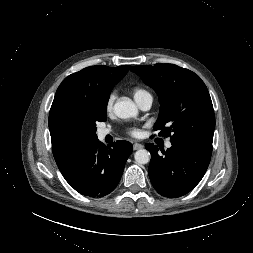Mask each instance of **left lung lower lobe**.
I'll return each instance as SVG.
<instances>
[{"mask_svg": "<svg viewBox=\"0 0 253 253\" xmlns=\"http://www.w3.org/2000/svg\"><path fill=\"white\" fill-rule=\"evenodd\" d=\"M151 153L148 174L155 190L162 196L177 198L190 192L204 176L211 155L198 149L172 145L163 155L158 154V147L145 144Z\"/></svg>", "mask_w": 253, "mask_h": 253, "instance_id": "left-lung-lower-lobe-1", "label": "left lung lower lobe"}]
</instances>
